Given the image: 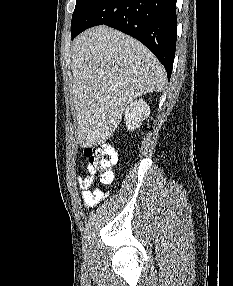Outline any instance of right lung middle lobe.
I'll use <instances>...</instances> for the list:
<instances>
[{
  "mask_svg": "<svg viewBox=\"0 0 233 286\" xmlns=\"http://www.w3.org/2000/svg\"><path fill=\"white\" fill-rule=\"evenodd\" d=\"M92 0H77L75 10L72 15L71 28L74 27L78 21L82 18L83 14L87 10Z\"/></svg>",
  "mask_w": 233,
  "mask_h": 286,
  "instance_id": "1",
  "label": "right lung middle lobe"
}]
</instances>
